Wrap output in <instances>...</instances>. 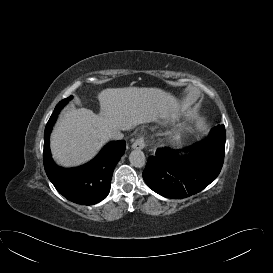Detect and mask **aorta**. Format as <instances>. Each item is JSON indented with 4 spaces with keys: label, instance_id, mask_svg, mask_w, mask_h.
Segmentation results:
<instances>
[{
    "label": "aorta",
    "instance_id": "obj_1",
    "mask_svg": "<svg viewBox=\"0 0 273 273\" xmlns=\"http://www.w3.org/2000/svg\"><path fill=\"white\" fill-rule=\"evenodd\" d=\"M129 161L132 166L142 168L145 166L146 158L141 150H133L129 155Z\"/></svg>",
    "mask_w": 273,
    "mask_h": 273
}]
</instances>
